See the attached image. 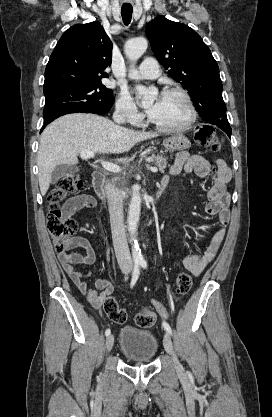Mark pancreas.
<instances>
[{
    "label": "pancreas",
    "instance_id": "1",
    "mask_svg": "<svg viewBox=\"0 0 272 417\" xmlns=\"http://www.w3.org/2000/svg\"><path fill=\"white\" fill-rule=\"evenodd\" d=\"M149 161L154 163L159 168V171L162 173L169 166L167 163V159L159 155L150 156Z\"/></svg>",
    "mask_w": 272,
    "mask_h": 417
}]
</instances>
